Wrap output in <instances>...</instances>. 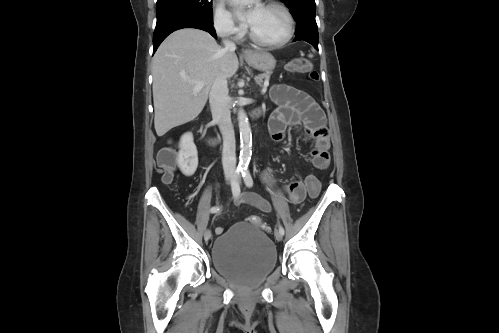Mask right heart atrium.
Wrapping results in <instances>:
<instances>
[{
  "mask_svg": "<svg viewBox=\"0 0 499 333\" xmlns=\"http://www.w3.org/2000/svg\"><path fill=\"white\" fill-rule=\"evenodd\" d=\"M212 24L216 33L222 37L239 38L243 33V27L235 22L220 0H216L213 6Z\"/></svg>",
  "mask_w": 499,
  "mask_h": 333,
  "instance_id": "right-heart-atrium-1",
  "label": "right heart atrium"
}]
</instances>
